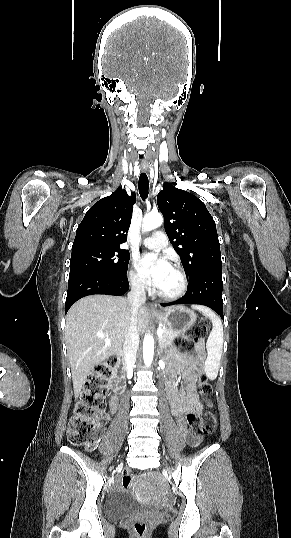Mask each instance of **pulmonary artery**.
<instances>
[{"label":"pulmonary artery","instance_id":"obj_1","mask_svg":"<svg viewBox=\"0 0 291 538\" xmlns=\"http://www.w3.org/2000/svg\"><path fill=\"white\" fill-rule=\"evenodd\" d=\"M142 244L150 249H164L168 245V238L163 231H156L153 235L144 238Z\"/></svg>","mask_w":291,"mask_h":538}]
</instances>
